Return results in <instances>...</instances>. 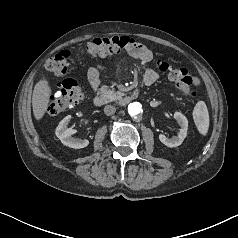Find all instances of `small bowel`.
<instances>
[{
    "mask_svg": "<svg viewBox=\"0 0 238 238\" xmlns=\"http://www.w3.org/2000/svg\"><path fill=\"white\" fill-rule=\"evenodd\" d=\"M128 54L135 58L139 59L143 63H150L153 59L152 51L143 44L139 46ZM100 72L101 66H94L89 69L87 73V80L92 89H96L100 84ZM159 78V74L153 68H147L143 72L142 81L145 85H152Z\"/></svg>",
    "mask_w": 238,
    "mask_h": 238,
    "instance_id": "obj_1",
    "label": "small bowel"
}]
</instances>
